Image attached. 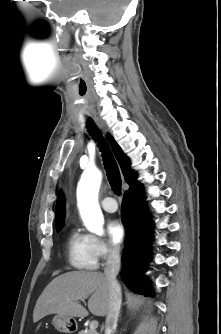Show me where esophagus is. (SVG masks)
Masks as SVG:
<instances>
[{"instance_id":"esophagus-1","label":"esophagus","mask_w":221,"mask_h":334,"mask_svg":"<svg viewBox=\"0 0 221 334\" xmlns=\"http://www.w3.org/2000/svg\"><path fill=\"white\" fill-rule=\"evenodd\" d=\"M98 124H99V126H100L101 128H104V125H103V123H102L100 120H98Z\"/></svg>"}]
</instances>
